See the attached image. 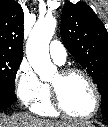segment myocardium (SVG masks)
Returning a JSON list of instances; mask_svg holds the SVG:
<instances>
[{
    "label": "myocardium",
    "mask_w": 108,
    "mask_h": 127,
    "mask_svg": "<svg viewBox=\"0 0 108 127\" xmlns=\"http://www.w3.org/2000/svg\"><path fill=\"white\" fill-rule=\"evenodd\" d=\"M58 73H59V76L61 79H64L72 74L82 75L87 80V82L89 83V85L94 93L95 104H94L93 110L87 115L80 116V115L72 114L65 108V106L62 102L59 86L56 84L50 83L49 86H50L52 104H53L54 108L56 109V111L59 112L60 114L68 116L70 118L79 119V120H87V119H91L92 117H94L100 108L101 95H100L98 86L95 83L94 79L91 77V75L88 72H86L85 70H83L81 68H77V67L63 68Z\"/></svg>",
    "instance_id": "obj_1"
}]
</instances>
